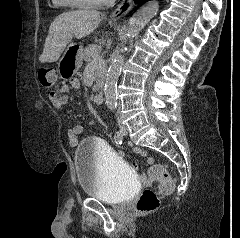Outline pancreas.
<instances>
[{"label":"pancreas","instance_id":"cf45deb5","mask_svg":"<svg viewBox=\"0 0 240 238\" xmlns=\"http://www.w3.org/2000/svg\"><path fill=\"white\" fill-rule=\"evenodd\" d=\"M94 54H98L100 56V48L95 45L91 44L88 45L83 52V58L85 62H87L88 67H93L94 68V80H95V85L93 87V91L99 90L102 80L104 79L106 75V63L103 60L102 56H100L101 61H95L94 59Z\"/></svg>","mask_w":240,"mask_h":238}]
</instances>
